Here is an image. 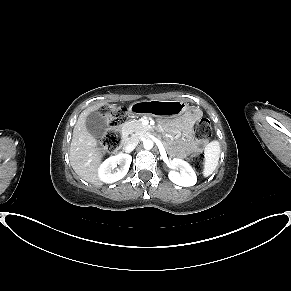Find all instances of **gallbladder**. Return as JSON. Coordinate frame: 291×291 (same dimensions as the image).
I'll list each match as a JSON object with an SVG mask.
<instances>
[{"label":"gallbladder","instance_id":"bac80fb5","mask_svg":"<svg viewBox=\"0 0 291 291\" xmlns=\"http://www.w3.org/2000/svg\"><path fill=\"white\" fill-rule=\"evenodd\" d=\"M85 125L89 133L96 138H101L107 129L105 118L97 111L86 117Z\"/></svg>","mask_w":291,"mask_h":291}]
</instances>
